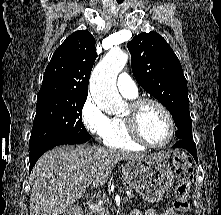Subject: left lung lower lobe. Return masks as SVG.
Returning a JSON list of instances; mask_svg holds the SVG:
<instances>
[{"mask_svg": "<svg viewBox=\"0 0 221 215\" xmlns=\"http://www.w3.org/2000/svg\"><path fill=\"white\" fill-rule=\"evenodd\" d=\"M173 147L186 149L197 161L196 144L194 143L193 139H180L177 143L173 145Z\"/></svg>", "mask_w": 221, "mask_h": 215, "instance_id": "obj_1", "label": "left lung lower lobe"}]
</instances>
